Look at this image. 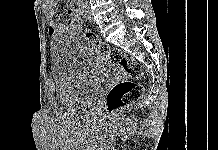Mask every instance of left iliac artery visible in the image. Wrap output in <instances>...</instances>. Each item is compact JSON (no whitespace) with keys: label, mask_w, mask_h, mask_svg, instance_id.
I'll list each match as a JSON object with an SVG mask.
<instances>
[{"label":"left iliac artery","mask_w":218,"mask_h":150,"mask_svg":"<svg viewBox=\"0 0 218 150\" xmlns=\"http://www.w3.org/2000/svg\"><path fill=\"white\" fill-rule=\"evenodd\" d=\"M83 10H84V4L80 3L79 4V9L77 10L79 17L83 16V12H84Z\"/></svg>","instance_id":"left-iliac-artery-1"}]
</instances>
